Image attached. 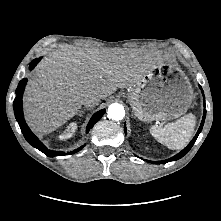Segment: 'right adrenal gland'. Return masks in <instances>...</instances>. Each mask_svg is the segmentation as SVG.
<instances>
[{
    "mask_svg": "<svg viewBox=\"0 0 221 221\" xmlns=\"http://www.w3.org/2000/svg\"><path fill=\"white\" fill-rule=\"evenodd\" d=\"M87 109H82V110H80L79 112H78V114H77V116H83V114L85 113V111H86Z\"/></svg>",
    "mask_w": 221,
    "mask_h": 221,
    "instance_id": "2a0ac1e0",
    "label": "right adrenal gland"
}]
</instances>
